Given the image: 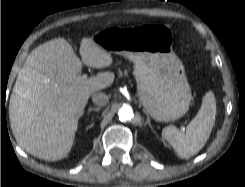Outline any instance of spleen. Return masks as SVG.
<instances>
[{"label":"spleen","instance_id":"3e777b00","mask_svg":"<svg viewBox=\"0 0 245 187\" xmlns=\"http://www.w3.org/2000/svg\"><path fill=\"white\" fill-rule=\"evenodd\" d=\"M216 101L212 91H208L202 100V105L188 124L186 131H180L174 126H167L162 131L163 138L174 148L179 157L190 158L198 153L206 144L215 124Z\"/></svg>","mask_w":245,"mask_h":187}]
</instances>
